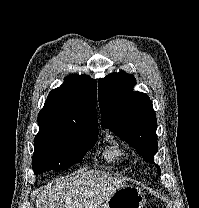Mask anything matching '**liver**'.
<instances>
[{
    "mask_svg": "<svg viewBox=\"0 0 199 208\" xmlns=\"http://www.w3.org/2000/svg\"><path fill=\"white\" fill-rule=\"evenodd\" d=\"M126 185L124 179L105 171L81 170L42 187L35 208H98Z\"/></svg>",
    "mask_w": 199,
    "mask_h": 208,
    "instance_id": "liver-1",
    "label": "liver"
}]
</instances>
